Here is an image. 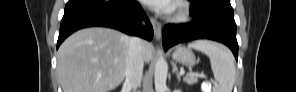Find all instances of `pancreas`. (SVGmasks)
Instances as JSON below:
<instances>
[{
    "instance_id": "1",
    "label": "pancreas",
    "mask_w": 296,
    "mask_h": 92,
    "mask_svg": "<svg viewBox=\"0 0 296 92\" xmlns=\"http://www.w3.org/2000/svg\"><path fill=\"white\" fill-rule=\"evenodd\" d=\"M197 81H198V79L193 76H186L184 78V82L187 83L188 85H193V84L197 83Z\"/></svg>"
}]
</instances>
